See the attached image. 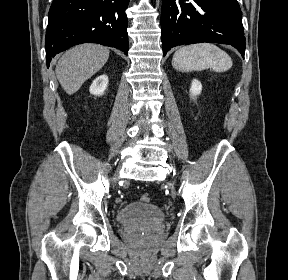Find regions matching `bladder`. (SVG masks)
<instances>
[{
  "mask_svg": "<svg viewBox=\"0 0 288 280\" xmlns=\"http://www.w3.org/2000/svg\"><path fill=\"white\" fill-rule=\"evenodd\" d=\"M117 221L127 227L154 229L165 220V213L153 204L132 202L118 210Z\"/></svg>",
  "mask_w": 288,
  "mask_h": 280,
  "instance_id": "bladder-1",
  "label": "bladder"
}]
</instances>
